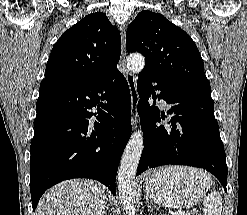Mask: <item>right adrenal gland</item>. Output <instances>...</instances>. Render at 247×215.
Instances as JSON below:
<instances>
[{
    "label": "right adrenal gland",
    "instance_id": "right-adrenal-gland-1",
    "mask_svg": "<svg viewBox=\"0 0 247 215\" xmlns=\"http://www.w3.org/2000/svg\"><path fill=\"white\" fill-rule=\"evenodd\" d=\"M108 210H109V205L107 204V205L105 206V209H104V211H103V214H105V212L108 211Z\"/></svg>",
    "mask_w": 247,
    "mask_h": 215
}]
</instances>
